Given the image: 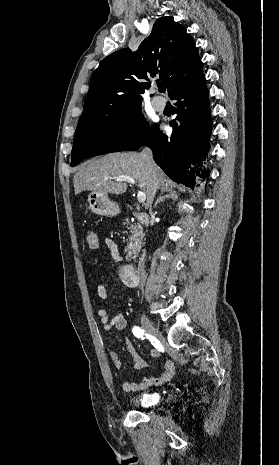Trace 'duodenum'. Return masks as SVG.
<instances>
[{
    "label": "duodenum",
    "instance_id": "410a0bca",
    "mask_svg": "<svg viewBox=\"0 0 279 465\" xmlns=\"http://www.w3.org/2000/svg\"><path fill=\"white\" fill-rule=\"evenodd\" d=\"M135 217L143 223L148 222V216L145 213H136ZM141 255H143V252H141ZM122 280L129 287L137 286L139 283V273L136 268L131 265H126L123 270Z\"/></svg>",
    "mask_w": 279,
    "mask_h": 465
}]
</instances>
